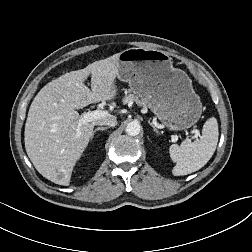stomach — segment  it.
<instances>
[{
    "label": "stomach",
    "mask_w": 252,
    "mask_h": 252,
    "mask_svg": "<svg viewBox=\"0 0 252 252\" xmlns=\"http://www.w3.org/2000/svg\"><path fill=\"white\" fill-rule=\"evenodd\" d=\"M117 77L128 82L152 112L173 131L192 127L200 118L202 104L191 80L173 67L164 51L128 48L118 53Z\"/></svg>",
    "instance_id": "0dacf381"
}]
</instances>
